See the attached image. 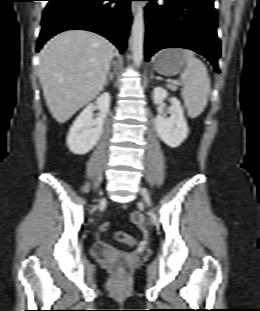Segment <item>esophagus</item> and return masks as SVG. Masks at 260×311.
I'll use <instances>...</instances> for the list:
<instances>
[{
	"mask_svg": "<svg viewBox=\"0 0 260 311\" xmlns=\"http://www.w3.org/2000/svg\"><path fill=\"white\" fill-rule=\"evenodd\" d=\"M131 10H132L133 13H135V12L137 11V6H136V4H132V5H131Z\"/></svg>",
	"mask_w": 260,
	"mask_h": 311,
	"instance_id": "esophagus-1",
	"label": "esophagus"
}]
</instances>
